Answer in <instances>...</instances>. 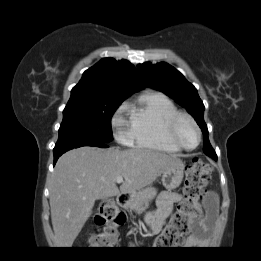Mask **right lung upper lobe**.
Wrapping results in <instances>:
<instances>
[{"mask_svg": "<svg viewBox=\"0 0 261 261\" xmlns=\"http://www.w3.org/2000/svg\"><path fill=\"white\" fill-rule=\"evenodd\" d=\"M143 87L144 83L130 62L104 58L84 72L80 82L72 89L71 98L98 96L127 98Z\"/></svg>", "mask_w": 261, "mask_h": 261, "instance_id": "obj_1", "label": "right lung upper lobe"}]
</instances>
